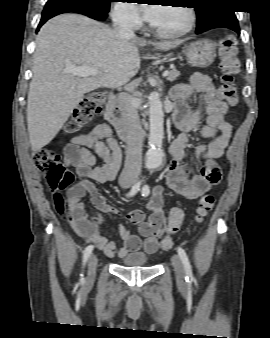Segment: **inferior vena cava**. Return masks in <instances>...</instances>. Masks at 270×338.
Instances as JSON below:
<instances>
[{
	"instance_id": "602c4592",
	"label": "inferior vena cava",
	"mask_w": 270,
	"mask_h": 338,
	"mask_svg": "<svg viewBox=\"0 0 270 338\" xmlns=\"http://www.w3.org/2000/svg\"><path fill=\"white\" fill-rule=\"evenodd\" d=\"M114 27L116 32L123 37H135L132 26L122 16L115 18ZM131 100L132 97L124 92L118 96L119 110L127 143L126 161L120 175V181L136 180L141 172L142 127L138 112Z\"/></svg>"
}]
</instances>
